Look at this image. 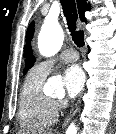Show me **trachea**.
<instances>
[{"instance_id":"3493384b","label":"trachea","mask_w":116,"mask_h":134,"mask_svg":"<svg viewBox=\"0 0 116 134\" xmlns=\"http://www.w3.org/2000/svg\"><path fill=\"white\" fill-rule=\"evenodd\" d=\"M64 15L67 18V25L71 32L74 43L78 47L84 46V33L76 30L77 11L74 0H61Z\"/></svg>"}]
</instances>
